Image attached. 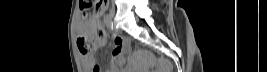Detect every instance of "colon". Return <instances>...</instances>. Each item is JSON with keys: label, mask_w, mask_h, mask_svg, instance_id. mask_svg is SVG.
Masks as SVG:
<instances>
[{"label": "colon", "mask_w": 267, "mask_h": 72, "mask_svg": "<svg viewBox=\"0 0 267 72\" xmlns=\"http://www.w3.org/2000/svg\"><path fill=\"white\" fill-rule=\"evenodd\" d=\"M81 11L86 17V24L94 39L98 42L102 41L106 37L104 29L100 26L98 15L100 8L99 6L106 4L107 0H81ZM79 49L82 53H89L92 51V43L87 38H80L78 41ZM98 70V67H95ZM161 72H171V65L165 61L160 66Z\"/></svg>", "instance_id": "obj_1"}]
</instances>
